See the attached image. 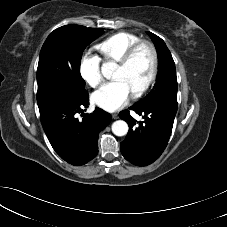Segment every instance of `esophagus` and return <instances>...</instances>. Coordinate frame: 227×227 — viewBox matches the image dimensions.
Returning <instances> with one entry per match:
<instances>
[{
    "label": "esophagus",
    "instance_id": "34e87169",
    "mask_svg": "<svg viewBox=\"0 0 227 227\" xmlns=\"http://www.w3.org/2000/svg\"><path fill=\"white\" fill-rule=\"evenodd\" d=\"M112 118L113 119H117L118 118V114H112Z\"/></svg>",
    "mask_w": 227,
    "mask_h": 227
}]
</instances>
